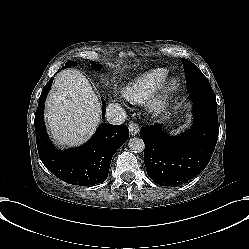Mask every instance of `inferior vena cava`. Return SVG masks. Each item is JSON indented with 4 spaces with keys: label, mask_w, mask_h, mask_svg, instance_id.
<instances>
[{
    "label": "inferior vena cava",
    "mask_w": 249,
    "mask_h": 249,
    "mask_svg": "<svg viewBox=\"0 0 249 249\" xmlns=\"http://www.w3.org/2000/svg\"><path fill=\"white\" fill-rule=\"evenodd\" d=\"M126 111L118 103H111L106 109V119L108 123L113 125L123 124L126 120Z\"/></svg>",
    "instance_id": "1"
}]
</instances>
